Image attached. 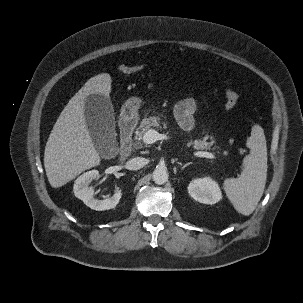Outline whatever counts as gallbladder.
<instances>
[{
  "label": "gallbladder",
  "instance_id": "gallbladder-1",
  "mask_svg": "<svg viewBox=\"0 0 303 303\" xmlns=\"http://www.w3.org/2000/svg\"><path fill=\"white\" fill-rule=\"evenodd\" d=\"M85 117L94 146L101 155L115 143V119L110 100L103 95H89L85 100Z\"/></svg>",
  "mask_w": 303,
  "mask_h": 303
}]
</instances>
